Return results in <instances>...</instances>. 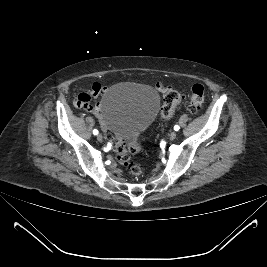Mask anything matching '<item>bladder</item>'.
Segmentation results:
<instances>
[{"label":"bladder","instance_id":"31cf9c89","mask_svg":"<svg viewBox=\"0 0 267 267\" xmlns=\"http://www.w3.org/2000/svg\"><path fill=\"white\" fill-rule=\"evenodd\" d=\"M158 108L159 97L151 89L132 82H121L103 95L101 120L115 137L132 138L149 127Z\"/></svg>","mask_w":267,"mask_h":267}]
</instances>
